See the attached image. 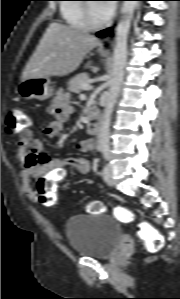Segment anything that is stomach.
Segmentation results:
<instances>
[{
  "mask_svg": "<svg viewBox=\"0 0 180 299\" xmlns=\"http://www.w3.org/2000/svg\"><path fill=\"white\" fill-rule=\"evenodd\" d=\"M17 93L26 100L45 101L53 95V88L48 77H29L20 81Z\"/></svg>",
  "mask_w": 180,
  "mask_h": 299,
  "instance_id": "0dacf381",
  "label": "stomach"
}]
</instances>
